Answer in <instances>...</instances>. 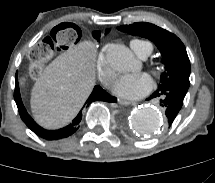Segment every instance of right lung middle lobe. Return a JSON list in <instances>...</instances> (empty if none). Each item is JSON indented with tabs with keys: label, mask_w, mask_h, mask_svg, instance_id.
Listing matches in <instances>:
<instances>
[{
	"label": "right lung middle lobe",
	"mask_w": 215,
	"mask_h": 183,
	"mask_svg": "<svg viewBox=\"0 0 215 183\" xmlns=\"http://www.w3.org/2000/svg\"><path fill=\"white\" fill-rule=\"evenodd\" d=\"M59 28H60V26H57V29H59ZM107 32H109V29L107 30ZM80 37H81V34L78 33V40L80 39ZM93 37L95 39H97V41H99V39H100V32L99 31L93 32Z\"/></svg>",
	"instance_id": "obj_1"
}]
</instances>
